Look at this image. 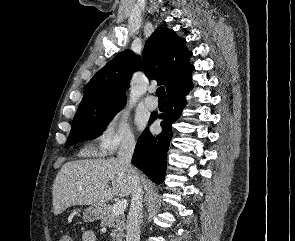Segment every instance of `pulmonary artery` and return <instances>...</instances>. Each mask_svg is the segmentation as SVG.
<instances>
[{"label": "pulmonary artery", "mask_w": 295, "mask_h": 241, "mask_svg": "<svg viewBox=\"0 0 295 241\" xmlns=\"http://www.w3.org/2000/svg\"><path fill=\"white\" fill-rule=\"evenodd\" d=\"M149 92L152 93L153 90H149ZM145 105H146V107H147L148 109H150V110H154V109L157 108L158 103H157L156 99H155L153 96H148V97H146V99H145Z\"/></svg>", "instance_id": "1"}]
</instances>
